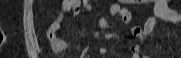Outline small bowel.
I'll use <instances>...</instances> for the list:
<instances>
[{
  "instance_id": "1",
  "label": "small bowel",
  "mask_w": 181,
  "mask_h": 58,
  "mask_svg": "<svg viewBox=\"0 0 181 58\" xmlns=\"http://www.w3.org/2000/svg\"><path fill=\"white\" fill-rule=\"evenodd\" d=\"M90 11L92 5L88 0H64L60 5L59 12L47 30V38L53 44L54 50L60 56L62 51L67 48V43L57 38L63 19L66 14L71 13L78 16L82 9ZM111 12L114 15L120 16L125 23H129L131 16L127 9L122 8L119 4H114L111 7ZM154 16L150 17L143 28L133 26L130 28L131 33L140 39V43L131 47L132 58H148L143 53L144 43L151 37L153 30L158 25L159 21H167L170 23H180L181 13L172 9L169 6L168 0H156L154 3ZM99 53L105 54L106 49L99 48Z\"/></svg>"
}]
</instances>
